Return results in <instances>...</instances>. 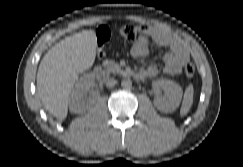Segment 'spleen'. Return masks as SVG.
<instances>
[{
	"mask_svg": "<svg viewBox=\"0 0 243 167\" xmlns=\"http://www.w3.org/2000/svg\"><path fill=\"white\" fill-rule=\"evenodd\" d=\"M193 95H194V88H193V85L190 84L186 88L185 93H184L183 102H182V106L180 109L181 116H185L189 112V110L193 104Z\"/></svg>",
	"mask_w": 243,
	"mask_h": 167,
	"instance_id": "obj_1",
	"label": "spleen"
}]
</instances>
